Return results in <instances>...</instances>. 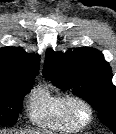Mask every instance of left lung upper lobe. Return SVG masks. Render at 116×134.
Instances as JSON below:
<instances>
[{"label": "left lung upper lobe", "mask_w": 116, "mask_h": 134, "mask_svg": "<svg viewBox=\"0 0 116 134\" xmlns=\"http://www.w3.org/2000/svg\"><path fill=\"white\" fill-rule=\"evenodd\" d=\"M43 75L60 89H72L73 94L87 101L100 121L116 134V87L112 70L102 53L89 47L65 53L46 52Z\"/></svg>", "instance_id": "5c2ea615"}]
</instances>
